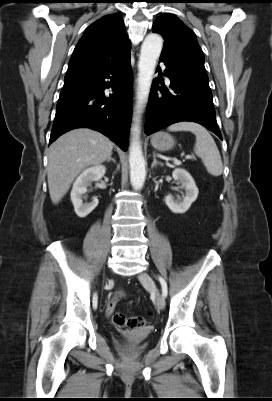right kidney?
I'll use <instances>...</instances> for the list:
<instances>
[{"mask_svg":"<svg viewBox=\"0 0 272 401\" xmlns=\"http://www.w3.org/2000/svg\"><path fill=\"white\" fill-rule=\"evenodd\" d=\"M106 173V167L103 165H95L84 170L75 180L71 191V201L74 206L75 213L80 218L86 217L98 205V199L93 198L90 203H83L84 194L87 188L91 186L93 181H99Z\"/></svg>","mask_w":272,"mask_h":401,"instance_id":"ca27d5eb","label":"right kidney"}]
</instances>
